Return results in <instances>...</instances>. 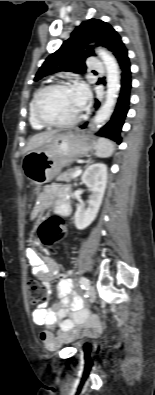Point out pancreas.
I'll return each instance as SVG.
<instances>
[{
  "label": "pancreas",
  "instance_id": "1",
  "mask_svg": "<svg viewBox=\"0 0 155 395\" xmlns=\"http://www.w3.org/2000/svg\"><path fill=\"white\" fill-rule=\"evenodd\" d=\"M79 168L78 167H74V168H72V169H70V170H67L66 172H64V173H62V174H60L58 177H57V181H70V179L72 178V175L78 170ZM75 180H76V178H75Z\"/></svg>",
  "mask_w": 155,
  "mask_h": 395
}]
</instances>
